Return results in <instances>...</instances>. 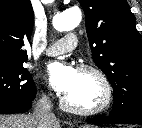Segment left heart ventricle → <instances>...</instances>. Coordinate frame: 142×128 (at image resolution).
Segmentation results:
<instances>
[{"mask_svg": "<svg viewBox=\"0 0 142 128\" xmlns=\"http://www.w3.org/2000/svg\"><path fill=\"white\" fill-rule=\"evenodd\" d=\"M102 95L103 90L99 81L91 74L79 72L78 84L66 98L74 105L88 108L97 105Z\"/></svg>", "mask_w": 142, "mask_h": 128, "instance_id": "b2bd125f", "label": "left heart ventricle"}]
</instances>
